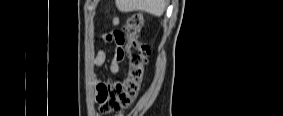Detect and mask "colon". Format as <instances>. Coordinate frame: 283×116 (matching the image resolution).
<instances>
[{
    "label": "colon",
    "mask_w": 283,
    "mask_h": 116,
    "mask_svg": "<svg viewBox=\"0 0 283 116\" xmlns=\"http://www.w3.org/2000/svg\"><path fill=\"white\" fill-rule=\"evenodd\" d=\"M143 23V13L134 12L127 18L122 31L117 33L129 61V70L122 81L97 86L98 110L102 114L126 109L141 89L147 62L146 47L138 40Z\"/></svg>",
    "instance_id": "colon-1"
}]
</instances>
